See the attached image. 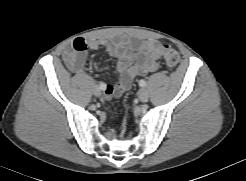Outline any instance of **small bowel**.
<instances>
[{
  "label": "small bowel",
  "instance_id": "small-bowel-1",
  "mask_svg": "<svg viewBox=\"0 0 246 181\" xmlns=\"http://www.w3.org/2000/svg\"><path fill=\"white\" fill-rule=\"evenodd\" d=\"M99 48H104L111 57L117 60L119 75L115 86L100 84L105 86V95L119 97L130 88L137 76L146 75L158 69L163 45L156 40L140 41L124 35L112 41L76 38L71 48L64 52V62L72 72L81 74L86 62L87 50Z\"/></svg>",
  "mask_w": 246,
  "mask_h": 181
}]
</instances>
